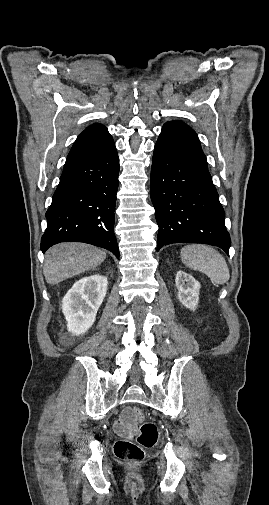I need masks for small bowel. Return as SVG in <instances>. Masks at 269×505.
Instances as JSON below:
<instances>
[{"label": "small bowel", "mask_w": 269, "mask_h": 505, "mask_svg": "<svg viewBox=\"0 0 269 505\" xmlns=\"http://www.w3.org/2000/svg\"><path fill=\"white\" fill-rule=\"evenodd\" d=\"M132 408H126L119 419L114 423L117 434L124 437L133 436L137 432L135 422L131 419Z\"/></svg>", "instance_id": "obj_1"}]
</instances>
